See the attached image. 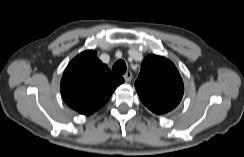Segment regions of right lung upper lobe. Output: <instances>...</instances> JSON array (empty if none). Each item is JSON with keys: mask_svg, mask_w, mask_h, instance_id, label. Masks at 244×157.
<instances>
[{"mask_svg": "<svg viewBox=\"0 0 244 157\" xmlns=\"http://www.w3.org/2000/svg\"><path fill=\"white\" fill-rule=\"evenodd\" d=\"M124 79L110 72L92 50L75 57L64 71L61 95L69 107L89 115L101 108Z\"/></svg>", "mask_w": 244, "mask_h": 157, "instance_id": "cb5924a9", "label": "right lung upper lobe"}]
</instances>
